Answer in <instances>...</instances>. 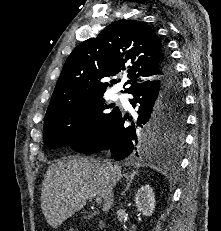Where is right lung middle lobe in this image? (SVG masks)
<instances>
[{
	"instance_id": "1",
	"label": "right lung middle lobe",
	"mask_w": 221,
	"mask_h": 231,
	"mask_svg": "<svg viewBox=\"0 0 221 231\" xmlns=\"http://www.w3.org/2000/svg\"><path fill=\"white\" fill-rule=\"evenodd\" d=\"M184 104L161 97L147 126L150 135L164 143H181L185 126ZM113 105H106L103 96L77 98L69 101L54 114L45 118L43 142L48 148L78 147L102 132L119 112Z\"/></svg>"
}]
</instances>
